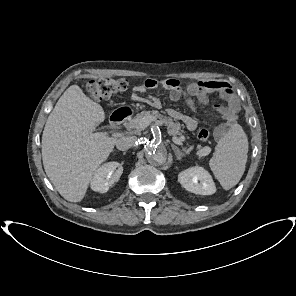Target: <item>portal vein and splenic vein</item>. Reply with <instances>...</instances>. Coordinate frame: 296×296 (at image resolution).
<instances>
[{
    "label": "portal vein and splenic vein",
    "mask_w": 296,
    "mask_h": 296,
    "mask_svg": "<svg viewBox=\"0 0 296 296\" xmlns=\"http://www.w3.org/2000/svg\"><path fill=\"white\" fill-rule=\"evenodd\" d=\"M154 121L152 117H144L140 120L139 122V127L138 129H145L147 128L150 123ZM108 133L107 132H97V133H94L93 136L97 137V136H102V135H107ZM173 142L177 145H182V141L180 138L178 137H173L172 138ZM210 152V148L209 147H205L202 149V155H207L208 153Z\"/></svg>",
    "instance_id": "1"
}]
</instances>
